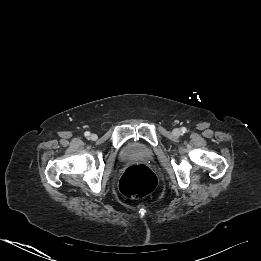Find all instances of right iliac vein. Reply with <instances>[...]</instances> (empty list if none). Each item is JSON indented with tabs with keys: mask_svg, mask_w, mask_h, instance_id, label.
I'll return each mask as SVG.
<instances>
[{
	"mask_svg": "<svg viewBox=\"0 0 261 261\" xmlns=\"http://www.w3.org/2000/svg\"><path fill=\"white\" fill-rule=\"evenodd\" d=\"M90 139L95 141L97 139V135L96 134H91Z\"/></svg>",
	"mask_w": 261,
	"mask_h": 261,
	"instance_id": "right-iliac-vein-1",
	"label": "right iliac vein"
}]
</instances>
